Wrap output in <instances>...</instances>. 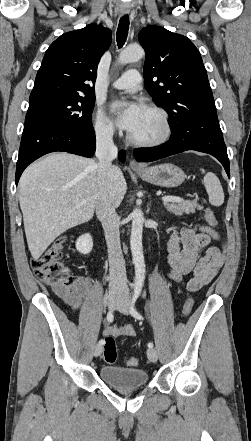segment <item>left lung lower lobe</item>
Here are the masks:
<instances>
[{
  "instance_id": "obj_1",
  "label": "left lung lower lobe",
  "mask_w": 251,
  "mask_h": 441,
  "mask_svg": "<svg viewBox=\"0 0 251 441\" xmlns=\"http://www.w3.org/2000/svg\"><path fill=\"white\" fill-rule=\"evenodd\" d=\"M187 150L208 153L216 157L230 177L229 159L219 126L218 117L194 115L172 129L170 139L153 148H138L134 157L138 162H151Z\"/></svg>"
}]
</instances>
